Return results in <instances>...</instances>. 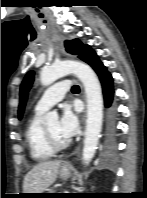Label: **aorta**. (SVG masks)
I'll use <instances>...</instances> for the list:
<instances>
[{"mask_svg":"<svg viewBox=\"0 0 147 198\" xmlns=\"http://www.w3.org/2000/svg\"><path fill=\"white\" fill-rule=\"evenodd\" d=\"M70 73L75 74L85 88L87 98V122L83 147V161L84 164H89L98 145L103 118L102 90L95 72L91 67L82 62L67 60L43 68L40 81L43 86H48ZM57 120L58 114L56 112H49L45 116L46 124Z\"/></svg>","mask_w":147,"mask_h":198,"instance_id":"obj_1","label":"aorta"}]
</instances>
